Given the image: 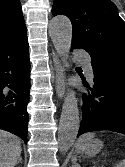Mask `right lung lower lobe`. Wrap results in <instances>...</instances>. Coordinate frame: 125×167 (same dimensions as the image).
Wrapping results in <instances>:
<instances>
[{"label": "right lung lower lobe", "mask_w": 125, "mask_h": 167, "mask_svg": "<svg viewBox=\"0 0 125 167\" xmlns=\"http://www.w3.org/2000/svg\"><path fill=\"white\" fill-rule=\"evenodd\" d=\"M30 60L27 36L0 44V129L28 134Z\"/></svg>", "instance_id": "right-lung-lower-lobe-1"}]
</instances>
